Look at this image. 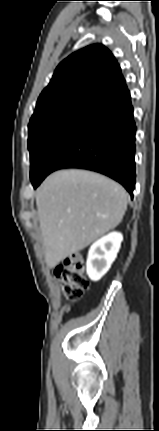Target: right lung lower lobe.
Wrapping results in <instances>:
<instances>
[{
    "mask_svg": "<svg viewBox=\"0 0 159 431\" xmlns=\"http://www.w3.org/2000/svg\"><path fill=\"white\" fill-rule=\"evenodd\" d=\"M136 125L130 98L84 120L49 152L36 188L51 172L80 168L102 173L122 184L133 197Z\"/></svg>",
    "mask_w": 159,
    "mask_h": 431,
    "instance_id": "obj_1",
    "label": "right lung lower lobe"
}]
</instances>
